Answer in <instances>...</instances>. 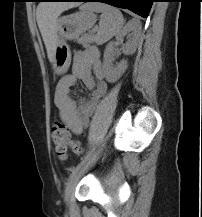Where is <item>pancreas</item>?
Listing matches in <instances>:
<instances>
[{
  "label": "pancreas",
  "instance_id": "1",
  "mask_svg": "<svg viewBox=\"0 0 202 217\" xmlns=\"http://www.w3.org/2000/svg\"><path fill=\"white\" fill-rule=\"evenodd\" d=\"M95 41V37L92 34L84 35L80 38L79 43L83 45V47H88L91 43Z\"/></svg>",
  "mask_w": 202,
  "mask_h": 217
}]
</instances>
